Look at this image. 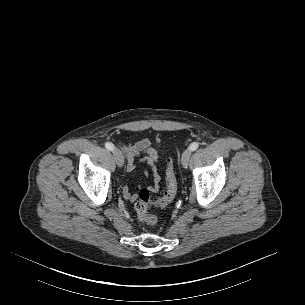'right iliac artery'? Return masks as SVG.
Wrapping results in <instances>:
<instances>
[{"label": "right iliac artery", "mask_w": 305, "mask_h": 305, "mask_svg": "<svg viewBox=\"0 0 305 305\" xmlns=\"http://www.w3.org/2000/svg\"><path fill=\"white\" fill-rule=\"evenodd\" d=\"M105 147L110 151L114 149V145L110 142L105 143Z\"/></svg>", "instance_id": "obj_1"}]
</instances>
